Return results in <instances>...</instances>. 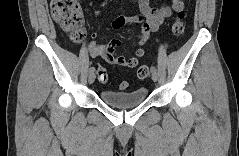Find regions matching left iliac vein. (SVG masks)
<instances>
[{
  "label": "left iliac vein",
  "mask_w": 239,
  "mask_h": 156,
  "mask_svg": "<svg viewBox=\"0 0 239 156\" xmlns=\"http://www.w3.org/2000/svg\"><path fill=\"white\" fill-rule=\"evenodd\" d=\"M151 78L154 82H156L158 80V74L156 71L151 72Z\"/></svg>",
  "instance_id": "1"
}]
</instances>
